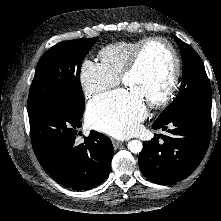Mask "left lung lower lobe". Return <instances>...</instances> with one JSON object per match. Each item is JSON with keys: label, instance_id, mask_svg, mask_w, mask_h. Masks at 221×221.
<instances>
[{"label": "left lung lower lobe", "instance_id": "left-lung-lower-lobe-1", "mask_svg": "<svg viewBox=\"0 0 221 221\" xmlns=\"http://www.w3.org/2000/svg\"><path fill=\"white\" fill-rule=\"evenodd\" d=\"M152 127L168 129V134L155 135L143 144L139 154L140 170L154 183L174 184L188 177L206 153L211 134V109L191 108L164 121L156 120Z\"/></svg>", "mask_w": 221, "mask_h": 221}]
</instances>
